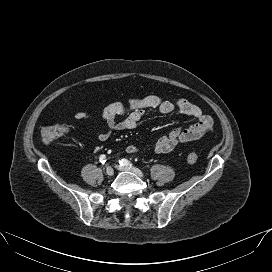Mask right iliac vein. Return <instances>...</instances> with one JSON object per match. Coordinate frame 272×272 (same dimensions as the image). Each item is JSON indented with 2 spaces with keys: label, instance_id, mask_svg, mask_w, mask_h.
<instances>
[{
  "label": "right iliac vein",
  "instance_id": "63e3f726",
  "mask_svg": "<svg viewBox=\"0 0 272 272\" xmlns=\"http://www.w3.org/2000/svg\"><path fill=\"white\" fill-rule=\"evenodd\" d=\"M105 173H106V175H108V176H113V174H114V169H113L111 166H107L106 169H105Z\"/></svg>",
  "mask_w": 272,
  "mask_h": 272
}]
</instances>
